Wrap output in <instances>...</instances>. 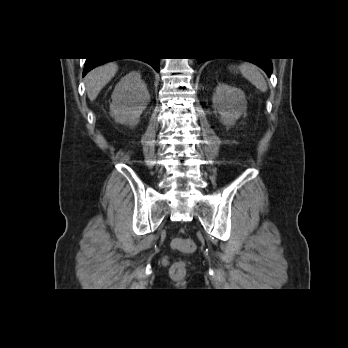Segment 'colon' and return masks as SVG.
Masks as SVG:
<instances>
[{"label": "colon", "instance_id": "1", "mask_svg": "<svg viewBox=\"0 0 348 348\" xmlns=\"http://www.w3.org/2000/svg\"><path fill=\"white\" fill-rule=\"evenodd\" d=\"M171 245L174 249L183 253H190L195 250V244L193 243V241L182 237L173 238ZM185 268V262H176L171 267V275L174 277L182 276L185 273Z\"/></svg>", "mask_w": 348, "mask_h": 348}]
</instances>
